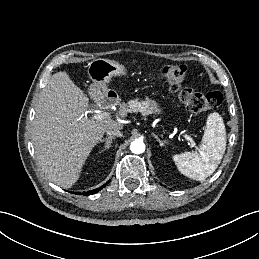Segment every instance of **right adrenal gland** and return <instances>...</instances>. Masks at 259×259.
<instances>
[{
    "label": "right adrenal gland",
    "mask_w": 259,
    "mask_h": 259,
    "mask_svg": "<svg viewBox=\"0 0 259 259\" xmlns=\"http://www.w3.org/2000/svg\"><path fill=\"white\" fill-rule=\"evenodd\" d=\"M114 139L113 136L111 137H108V138H105V139H101L99 143H105V146L104 148L100 151V153H103L104 151H106L107 149H109L111 143H112V140Z\"/></svg>",
    "instance_id": "2a0ac1e0"
}]
</instances>
